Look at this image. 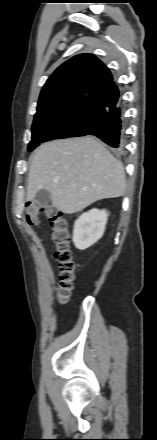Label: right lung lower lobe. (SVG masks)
Masks as SVG:
<instances>
[{
	"mask_svg": "<svg viewBox=\"0 0 157 440\" xmlns=\"http://www.w3.org/2000/svg\"><path fill=\"white\" fill-rule=\"evenodd\" d=\"M87 127L90 135L100 138L111 147L122 149L125 125L121 103L115 109L102 112Z\"/></svg>",
	"mask_w": 157,
	"mask_h": 440,
	"instance_id": "1",
	"label": "right lung lower lobe"
}]
</instances>
